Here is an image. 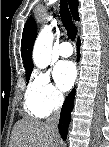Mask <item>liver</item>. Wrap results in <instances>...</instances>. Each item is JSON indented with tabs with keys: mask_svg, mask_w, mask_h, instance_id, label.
<instances>
[{
	"mask_svg": "<svg viewBox=\"0 0 109 147\" xmlns=\"http://www.w3.org/2000/svg\"><path fill=\"white\" fill-rule=\"evenodd\" d=\"M59 140L45 122L24 117L13 127L9 147H55Z\"/></svg>",
	"mask_w": 109,
	"mask_h": 147,
	"instance_id": "6515ba94",
	"label": "liver"
}]
</instances>
